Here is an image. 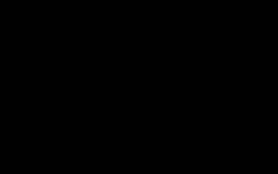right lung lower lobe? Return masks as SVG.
Instances as JSON below:
<instances>
[{
	"label": "right lung lower lobe",
	"mask_w": 278,
	"mask_h": 174,
	"mask_svg": "<svg viewBox=\"0 0 278 174\" xmlns=\"http://www.w3.org/2000/svg\"><path fill=\"white\" fill-rule=\"evenodd\" d=\"M135 91L115 76L68 71L50 84L55 125L75 149L94 153L110 147L120 118L135 100Z\"/></svg>",
	"instance_id": "obj_1"
}]
</instances>
